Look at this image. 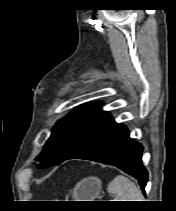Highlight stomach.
I'll return each mask as SVG.
<instances>
[{"label": "stomach", "mask_w": 176, "mask_h": 211, "mask_svg": "<svg viewBox=\"0 0 176 211\" xmlns=\"http://www.w3.org/2000/svg\"><path fill=\"white\" fill-rule=\"evenodd\" d=\"M101 180L97 177H88L79 182L74 189V196L81 201H94L100 195Z\"/></svg>", "instance_id": "0dacf381"}]
</instances>
